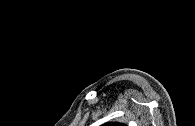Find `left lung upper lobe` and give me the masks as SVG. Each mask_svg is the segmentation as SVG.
<instances>
[{
  "mask_svg": "<svg viewBox=\"0 0 195 126\" xmlns=\"http://www.w3.org/2000/svg\"><path fill=\"white\" fill-rule=\"evenodd\" d=\"M103 126H126V125L122 123H117V122H110V123L104 124Z\"/></svg>",
  "mask_w": 195,
  "mask_h": 126,
  "instance_id": "obj_1",
  "label": "left lung upper lobe"
}]
</instances>
